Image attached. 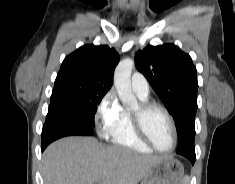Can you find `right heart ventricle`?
Returning a JSON list of instances; mask_svg holds the SVG:
<instances>
[{
  "instance_id": "obj_1",
  "label": "right heart ventricle",
  "mask_w": 235,
  "mask_h": 184,
  "mask_svg": "<svg viewBox=\"0 0 235 184\" xmlns=\"http://www.w3.org/2000/svg\"><path fill=\"white\" fill-rule=\"evenodd\" d=\"M146 101L147 99H142ZM108 150L112 155H118L121 152H135L150 154V147L136 134L131 114L124 110L123 118L112 135L111 143L108 144Z\"/></svg>"
}]
</instances>
